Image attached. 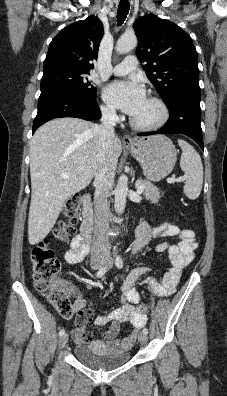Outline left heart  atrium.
<instances>
[{
	"instance_id": "obj_1",
	"label": "left heart atrium",
	"mask_w": 227,
	"mask_h": 396,
	"mask_svg": "<svg viewBox=\"0 0 227 396\" xmlns=\"http://www.w3.org/2000/svg\"><path fill=\"white\" fill-rule=\"evenodd\" d=\"M104 99L131 116L135 115L147 100L144 86L136 79L109 84L104 90Z\"/></svg>"
}]
</instances>
